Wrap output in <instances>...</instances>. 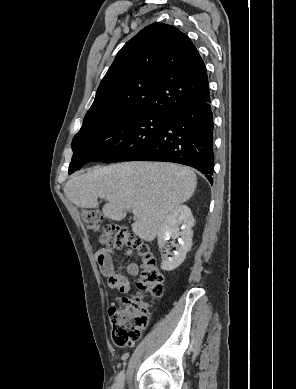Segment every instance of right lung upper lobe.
I'll use <instances>...</instances> for the list:
<instances>
[{
	"label": "right lung upper lobe",
	"instance_id": "obj_1",
	"mask_svg": "<svg viewBox=\"0 0 296 389\" xmlns=\"http://www.w3.org/2000/svg\"><path fill=\"white\" fill-rule=\"evenodd\" d=\"M208 98L207 70L190 38L153 23L118 52L84 119L116 109L169 116Z\"/></svg>",
	"mask_w": 296,
	"mask_h": 389
}]
</instances>
